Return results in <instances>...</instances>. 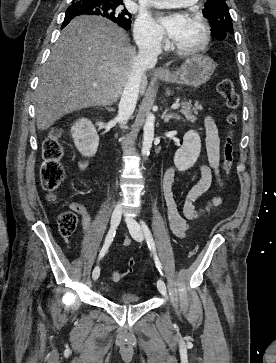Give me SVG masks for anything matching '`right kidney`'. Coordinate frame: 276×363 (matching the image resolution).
Returning a JSON list of instances; mask_svg holds the SVG:
<instances>
[{"label": "right kidney", "mask_w": 276, "mask_h": 363, "mask_svg": "<svg viewBox=\"0 0 276 363\" xmlns=\"http://www.w3.org/2000/svg\"><path fill=\"white\" fill-rule=\"evenodd\" d=\"M75 147L85 157L96 154L99 145V136L92 122L82 118L77 120L71 128Z\"/></svg>", "instance_id": "right-kidney-1"}]
</instances>
